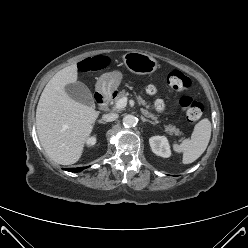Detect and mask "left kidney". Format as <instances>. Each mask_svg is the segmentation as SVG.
Returning a JSON list of instances; mask_svg holds the SVG:
<instances>
[{
	"label": "left kidney",
	"mask_w": 248,
	"mask_h": 248,
	"mask_svg": "<svg viewBox=\"0 0 248 248\" xmlns=\"http://www.w3.org/2000/svg\"><path fill=\"white\" fill-rule=\"evenodd\" d=\"M150 147L158 156L168 158L171 156L169 142L165 136H153L149 139Z\"/></svg>",
	"instance_id": "1"
}]
</instances>
